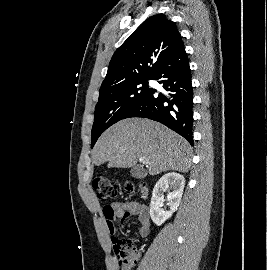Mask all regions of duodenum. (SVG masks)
<instances>
[{
    "mask_svg": "<svg viewBox=\"0 0 267 270\" xmlns=\"http://www.w3.org/2000/svg\"><path fill=\"white\" fill-rule=\"evenodd\" d=\"M148 194V189L145 185H141V196L145 198Z\"/></svg>",
    "mask_w": 267,
    "mask_h": 270,
    "instance_id": "duodenum-1",
    "label": "duodenum"
}]
</instances>
